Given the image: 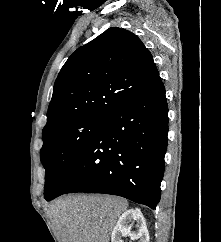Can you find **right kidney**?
I'll use <instances>...</instances> for the list:
<instances>
[{
  "instance_id": "1",
  "label": "right kidney",
  "mask_w": 221,
  "mask_h": 242,
  "mask_svg": "<svg viewBox=\"0 0 221 242\" xmlns=\"http://www.w3.org/2000/svg\"><path fill=\"white\" fill-rule=\"evenodd\" d=\"M132 222H136L137 232H131ZM129 234L132 240L149 242V233L145 218L139 209H130L124 212L118 219L111 235V242H123L122 236Z\"/></svg>"
}]
</instances>
